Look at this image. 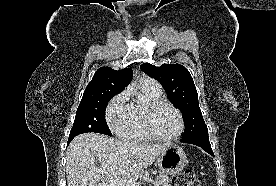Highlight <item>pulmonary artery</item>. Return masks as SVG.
I'll return each instance as SVG.
<instances>
[{"instance_id": "1", "label": "pulmonary artery", "mask_w": 276, "mask_h": 186, "mask_svg": "<svg viewBox=\"0 0 276 186\" xmlns=\"http://www.w3.org/2000/svg\"><path fill=\"white\" fill-rule=\"evenodd\" d=\"M143 81H144V82H148V83H150V84H152V85H155V86H160V85L158 84V82H156V81L153 80V79L146 78V79H144Z\"/></svg>"}]
</instances>
